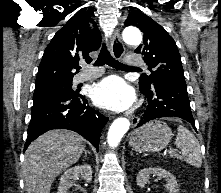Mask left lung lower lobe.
<instances>
[{
    "mask_svg": "<svg viewBox=\"0 0 221 193\" xmlns=\"http://www.w3.org/2000/svg\"><path fill=\"white\" fill-rule=\"evenodd\" d=\"M148 101L137 127L161 117H179L196 130L185 80L156 79L149 89H140Z\"/></svg>",
    "mask_w": 221,
    "mask_h": 193,
    "instance_id": "left-lung-lower-lobe-1",
    "label": "left lung lower lobe"
}]
</instances>
